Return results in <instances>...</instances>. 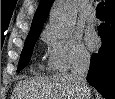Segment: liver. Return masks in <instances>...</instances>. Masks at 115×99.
I'll use <instances>...</instances> for the list:
<instances>
[{
    "label": "liver",
    "instance_id": "1",
    "mask_svg": "<svg viewBox=\"0 0 115 99\" xmlns=\"http://www.w3.org/2000/svg\"><path fill=\"white\" fill-rule=\"evenodd\" d=\"M11 99H82V96L71 74L62 73L19 81Z\"/></svg>",
    "mask_w": 115,
    "mask_h": 99
}]
</instances>
